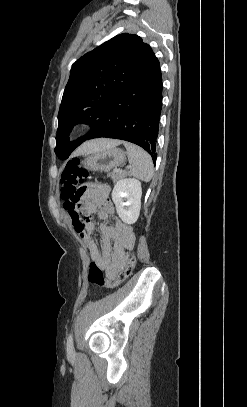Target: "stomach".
I'll return each instance as SVG.
<instances>
[{
	"label": "stomach",
	"instance_id": "obj_1",
	"mask_svg": "<svg viewBox=\"0 0 247 407\" xmlns=\"http://www.w3.org/2000/svg\"><path fill=\"white\" fill-rule=\"evenodd\" d=\"M126 153L117 147L103 149L85 156L82 165L89 171L108 172L125 161Z\"/></svg>",
	"mask_w": 247,
	"mask_h": 407
}]
</instances>
